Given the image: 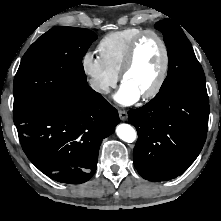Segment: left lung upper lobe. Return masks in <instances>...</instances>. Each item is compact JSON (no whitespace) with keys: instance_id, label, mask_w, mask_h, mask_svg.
<instances>
[{"instance_id":"obj_1","label":"left lung upper lobe","mask_w":221,"mask_h":221,"mask_svg":"<svg viewBox=\"0 0 221 221\" xmlns=\"http://www.w3.org/2000/svg\"><path fill=\"white\" fill-rule=\"evenodd\" d=\"M155 28L164 35L169 58L168 74L160 90L176 85L205 90L203 69L183 30L171 19L159 21Z\"/></svg>"}]
</instances>
